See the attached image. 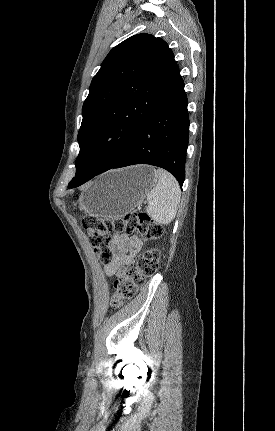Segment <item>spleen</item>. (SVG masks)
<instances>
[{
    "mask_svg": "<svg viewBox=\"0 0 275 431\" xmlns=\"http://www.w3.org/2000/svg\"><path fill=\"white\" fill-rule=\"evenodd\" d=\"M157 184L147 194V213L159 224H169L176 216L180 204V187L173 175L157 169Z\"/></svg>",
    "mask_w": 275,
    "mask_h": 431,
    "instance_id": "spleen-1",
    "label": "spleen"
}]
</instances>
